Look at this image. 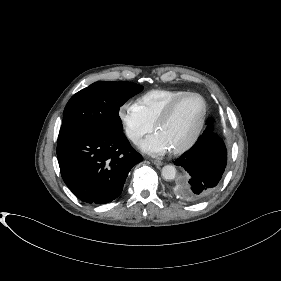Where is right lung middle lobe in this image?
Segmentation results:
<instances>
[{"label":"right lung middle lobe","mask_w":281,"mask_h":281,"mask_svg":"<svg viewBox=\"0 0 281 281\" xmlns=\"http://www.w3.org/2000/svg\"><path fill=\"white\" fill-rule=\"evenodd\" d=\"M143 86L132 82H95L68 101L58 143L73 136L122 132L120 107Z\"/></svg>","instance_id":"dd1d6c3e"}]
</instances>
